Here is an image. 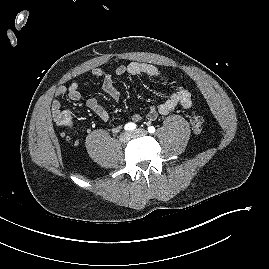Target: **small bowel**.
<instances>
[{"label":"small bowel","instance_id":"obj_1","mask_svg":"<svg viewBox=\"0 0 269 269\" xmlns=\"http://www.w3.org/2000/svg\"><path fill=\"white\" fill-rule=\"evenodd\" d=\"M115 73L119 76L121 75H146L149 78L160 81L165 84H171L175 86V90L171 95L158 106H152L149 108L147 113V118L149 120H155L159 115H167L171 113L176 107L180 106L181 108L188 110L192 107V97L190 91L177 84L176 80L169 78L165 75L159 68L152 64L142 63V62H130L125 65H119ZM94 77L102 80V88L106 94H108L112 99L118 100L120 93L117 88L114 86L112 75L101 69L95 68L92 71ZM83 79H78L73 81L68 87L60 86L57 88L54 94V99L51 104V111L54 120L61 126L71 127L72 117L69 111L63 110L61 106V99L64 96L72 101H80L81 93L80 86L83 83ZM87 107L95 113L102 121H108L110 118L109 112L98 102L94 97H90L86 101ZM68 118V121H64V117ZM142 118L141 114L135 113L132 116L133 121H140ZM120 125H115L112 127L114 133L120 131Z\"/></svg>","mask_w":269,"mask_h":269}]
</instances>
